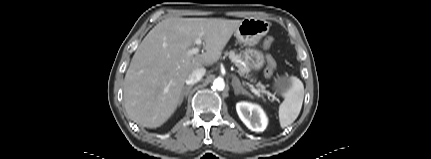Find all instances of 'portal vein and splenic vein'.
I'll return each mask as SVG.
<instances>
[{"label": "portal vein and splenic vein", "instance_id": "18ae733b", "mask_svg": "<svg viewBox=\"0 0 431 159\" xmlns=\"http://www.w3.org/2000/svg\"><path fill=\"white\" fill-rule=\"evenodd\" d=\"M195 44H196V46H195V47H193L192 49L188 50V52H187V53H188V55H195V54H198V53H199L200 48H201V45H202V39H201V37H199V38H197V39L195 40ZM251 91H252L255 95L260 96V91H259V90H257V89H255V88L251 87Z\"/></svg>", "mask_w": 431, "mask_h": 159}]
</instances>
